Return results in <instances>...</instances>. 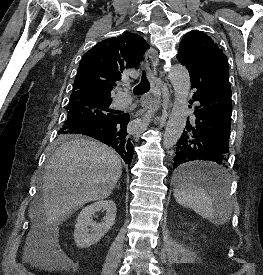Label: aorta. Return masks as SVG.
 <instances>
[{
	"mask_svg": "<svg viewBox=\"0 0 263 275\" xmlns=\"http://www.w3.org/2000/svg\"><path fill=\"white\" fill-rule=\"evenodd\" d=\"M174 89V103L163 136V147L166 149L175 145L182 135L188 116V97L190 91V76L186 67L174 65L169 73Z\"/></svg>",
	"mask_w": 263,
	"mask_h": 275,
	"instance_id": "762f6f07",
	"label": "aorta"
}]
</instances>
